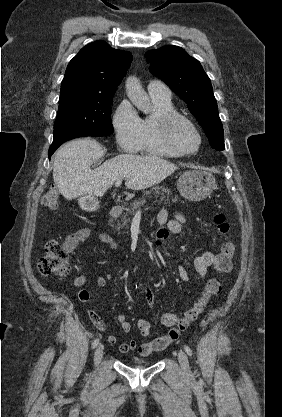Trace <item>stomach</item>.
Wrapping results in <instances>:
<instances>
[{
    "instance_id": "stomach-1",
    "label": "stomach",
    "mask_w": 282,
    "mask_h": 417,
    "mask_svg": "<svg viewBox=\"0 0 282 417\" xmlns=\"http://www.w3.org/2000/svg\"><path fill=\"white\" fill-rule=\"evenodd\" d=\"M177 188L188 200H204L216 188V182L212 172L205 168H196L179 176Z\"/></svg>"
}]
</instances>
